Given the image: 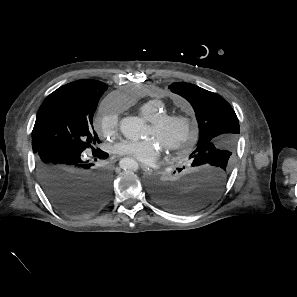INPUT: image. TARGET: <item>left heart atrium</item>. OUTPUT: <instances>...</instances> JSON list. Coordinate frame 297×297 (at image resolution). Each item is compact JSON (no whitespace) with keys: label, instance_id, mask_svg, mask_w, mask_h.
<instances>
[{"label":"left heart atrium","instance_id":"obj_1","mask_svg":"<svg viewBox=\"0 0 297 297\" xmlns=\"http://www.w3.org/2000/svg\"><path fill=\"white\" fill-rule=\"evenodd\" d=\"M162 145L154 137L144 140H122L115 146V153L130 157L142 164H152L162 152Z\"/></svg>","mask_w":297,"mask_h":297}]
</instances>
